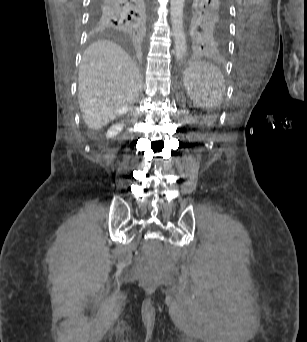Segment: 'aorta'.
Returning <instances> with one entry per match:
<instances>
[{
    "mask_svg": "<svg viewBox=\"0 0 307 342\" xmlns=\"http://www.w3.org/2000/svg\"><path fill=\"white\" fill-rule=\"evenodd\" d=\"M185 0H171L170 16L175 44L176 60H182L186 54V36L183 28V10Z\"/></svg>",
    "mask_w": 307,
    "mask_h": 342,
    "instance_id": "obj_1",
    "label": "aorta"
}]
</instances>
